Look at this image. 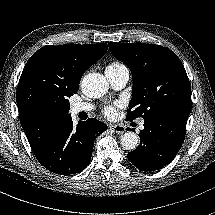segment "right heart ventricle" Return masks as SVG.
I'll return each instance as SVG.
<instances>
[{
	"mask_svg": "<svg viewBox=\"0 0 215 215\" xmlns=\"http://www.w3.org/2000/svg\"><path fill=\"white\" fill-rule=\"evenodd\" d=\"M122 68H125V66L123 64H121L120 62H116V61L110 63L107 66V69L111 70V71H116V70H119V69H122Z\"/></svg>",
	"mask_w": 215,
	"mask_h": 215,
	"instance_id": "e07e8e85",
	"label": "right heart ventricle"
}]
</instances>
